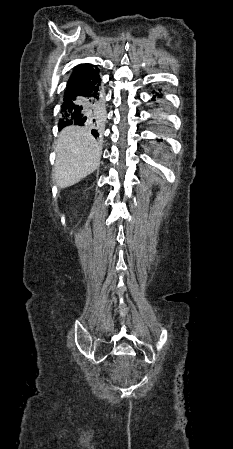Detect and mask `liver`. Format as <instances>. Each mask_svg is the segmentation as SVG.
<instances>
[{
    "label": "liver",
    "mask_w": 233,
    "mask_h": 449,
    "mask_svg": "<svg viewBox=\"0 0 233 449\" xmlns=\"http://www.w3.org/2000/svg\"><path fill=\"white\" fill-rule=\"evenodd\" d=\"M101 146L90 132L77 126L64 128L57 140L53 180L59 188L72 186L95 171Z\"/></svg>",
    "instance_id": "6515ba94"
}]
</instances>
